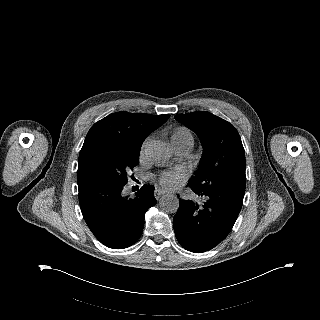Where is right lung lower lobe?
Here are the masks:
<instances>
[{
	"label": "right lung lower lobe",
	"mask_w": 320,
	"mask_h": 320,
	"mask_svg": "<svg viewBox=\"0 0 320 320\" xmlns=\"http://www.w3.org/2000/svg\"><path fill=\"white\" fill-rule=\"evenodd\" d=\"M82 215L94 236L105 246L133 245L144 227V215L154 206V187L143 186L135 198L124 196L125 184L85 176L78 179Z\"/></svg>",
	"instance_id": "right-lung-lower-lobe-1"
}]
</instances>
